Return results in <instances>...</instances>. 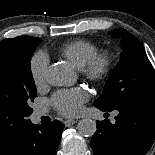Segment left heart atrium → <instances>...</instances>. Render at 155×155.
<instances>
[{"label": "left heart atrium", "mask_w": 155, "mask_h": 155, "mask_svg": "<svg viewBox=\"0 0 155 155\" xmlns=\"http://www.w3.org/2000/svg\"><path fill=\"white\" fill-rule=\"evenodd\" d=\"M88 99V93L82 88L56 92L51 102L56 110L68 117L76 116L82 111V104Z\"/></svg>", "instance_id": "left-heart-atrium-1"}]
</instances>
